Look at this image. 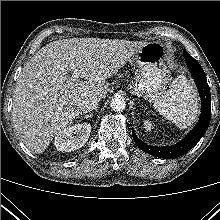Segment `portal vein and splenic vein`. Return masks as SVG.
Returning a JSON list of instances; mask_svg holds the SVG:
<instances>
[{
    "label": "portal vein and splenic vein",
    "mask_w": 220,
    "mask_h": 220,
    "mask_svg": "<svg viewBox=\"0 0 220 220\" xmlns=\"http://www.w3.org/2000/svg\"><path fill=\"white\" fill-rule=\"evenodd\" d=\"M70 68L72 69V76L71 80L76 81L79 78L78 69L75 67V65H71Z\"/></svg>",
    "instance_id": "1"
}]
</instances>
